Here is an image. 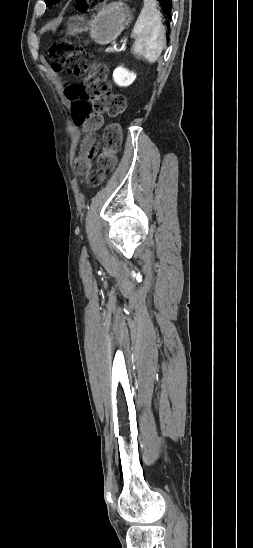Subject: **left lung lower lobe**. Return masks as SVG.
I'll use <instances>...</instances> for the list:
<instances>
[{
    "instance_id": "0a47b994",
    "label": "left lung lower lobe",
    "mask_w": 253,
    "mask_h": 548,
    "mask_svg": "<svg viewBox=\"0 0 253 548\" xmlns=\"http://www.w3.org/2000/svg\"><path fill=\"white\" fill-rule=\"evenodd\" d=\"M157 1L159 2V5L162 8L163 12L166 14L167 18L170 19L171 10H172V0H157Z\"/></svg>"
}]
</instances>
